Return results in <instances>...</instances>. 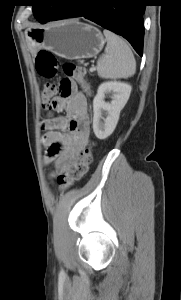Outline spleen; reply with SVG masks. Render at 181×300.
I'll use <instances>...</instances> for the list:
<instances>
[{
    "instance_id": "3e777b00",
    "label": "spleen",
    "mask_w": 181,
    "mask_h": 300,
    "mask_svg": "<svg viewBox=\"0 0 181 300\" xmlns=\"http://www.w3.org/2000/svg\"><path fill=\"white\" fill-rule=\"evenodd\" d=\"M107 45L105 55L97 62V72L103 79L128 78L136 71V61L129 45L115 33L103 31Z\"/></svg>"
}]
</instances>
